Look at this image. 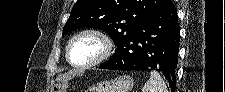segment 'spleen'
Here are the masks:
<instances>
[{
    "instance_id": "3e777b00",
    "label": "spleen",
    "mask_w": 225,
    "mask_h": 92,
    "mask_svg": "<svg viewBox=\"0 0 225 92\" xmlns=\"http://www.w3.org/2000/svg\"><path fill=\"white\" fill-rule=\"evenodd\" d=\"M142 92H168V89L160 74L151 71L150 78L142 88Z\"/></svg>"
}]
</instances>
